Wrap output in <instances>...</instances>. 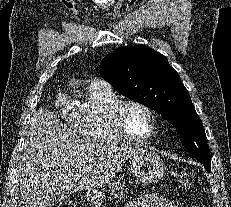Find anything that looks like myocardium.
Segmentation results:
<instances>
[{
	"label": "myocardium",
	"instance_id": "f54148a6",
	"mask_svg": "<svg viewBox=\"0 0 231 207\" xmlns=\"http://www.w3.org/2000/svg\"><path fill=\"white\" fill-rule=\"evenodd\" d=\"M129 106H137L147 112L152 125L151 132L148 136L135 137L129 132L124 121V112ZM111 120L121 136H123L126 140L138 144L151 141L155 137L158 130V118L155 111L146 103L135 99L120 100L111 112Z\"/></svg>",
	"mask_w": 231,
	"mask_h": 207
}]
</instances>
